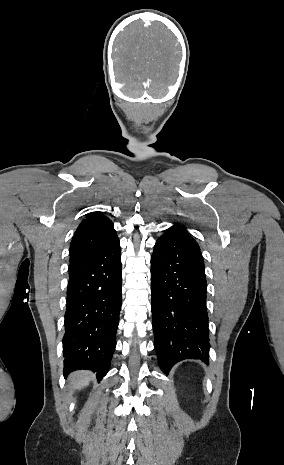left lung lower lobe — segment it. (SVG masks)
<instances>
[{
	"instance_id": "left-lung-lower-lobe-1",
	"label": "left lung lower lobe",
	"mask_w": 284,
	"mask_h": 465,
	"mask_svg": "<svg viewBox=\"0 0 284 465\" xmlns=\"http://www.w3.org/2000/svg\"><path fill=\"white\" fill-rule=\"evenodd\" d=\"M206 286L197 242L180 228L165 230L151 256L154 346L164 372L184 359L208 363Z\"/></svg>"
}]
</instances>
